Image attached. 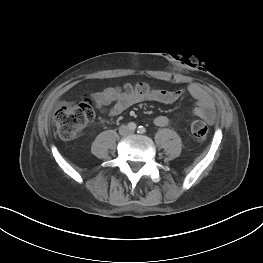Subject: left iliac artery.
Instances as JSON below:
<instances>
[{
    "label": "left iliac artery",
    "instance_id": "left-iliac-artery-1",
    "mask_svg": "<svg viewBox=\"0 0 263 263\" xmlns=\"http://www.w3.org/2000/svg\"><path fill=\"white\" fill-rule=\"evenodd\" d=\"M137 132L140 133V134H143V133L146 132V129L143 126H139Z\"/></svg>",
    "mask_w": 263,
    "mask_h": 263
}]
</instances>
